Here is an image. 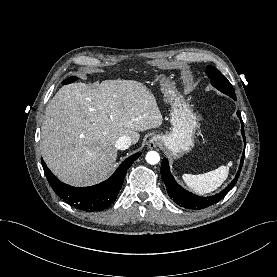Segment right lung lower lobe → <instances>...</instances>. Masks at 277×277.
I'll list each match as a JSON object with an SVG mask.
<instances>
[{"label": "right lung lower lobe", "mask_w": 277, "mask_h": 277, "mask_svg": "<svg viewBox=\"0 0 277 277\" xmlns=\"http://www.w3.org/2000/svg\"><path fill=\"white\" fill-rule=\"evenodd\" d=\"M141 155L136 153L128 157L106 181L83 188H76L59 181L42 161L47 180L52 189L71 206L87 211H101L108 208L121 189L124 176L132 163Z\"/></svg>", "instance_id": "1"}]
</instances>
